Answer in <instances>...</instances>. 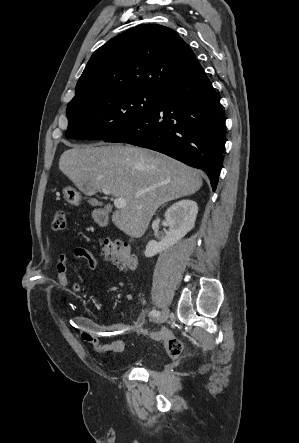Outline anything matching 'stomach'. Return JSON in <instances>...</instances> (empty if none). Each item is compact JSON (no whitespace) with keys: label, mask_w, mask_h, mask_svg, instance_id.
Here are the masks:
<instances>
[{"label":"stomach","mask_w":299,"mask_h":443,"mask_svg":"<svg viewBox=\"0 0 299 443\" xmlns=\"http://www.w3.org/2000/svg\"><path fill=\"white\" fill-rule=\"evenodd\" d=\"M63 194H64V198L71 204L78 205L81 200V196H80L79 192H77L72 187L64 188Z\"/></svg>","instance_id":"0dacf381"}]
</instances>
